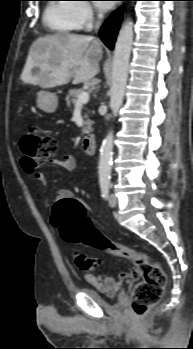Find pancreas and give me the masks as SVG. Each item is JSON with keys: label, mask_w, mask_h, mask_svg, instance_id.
Instances as JSON below:
<instances>
[{"label": "pancreas", "mask_w": 193, "mask_h": 349, "mask_svg": "<svg viewBox=\"0 0 193 349\" xmlns=\"http://www.w3.org/2000/svg\"><path fill=\"white\" fill-rule=\"evenodd\" d=\"M84 92L83 89H71L69 90L66 96L67 107L71 108L73 104L76 103L78 96ZM84 120V126L82 128L83 134H88L91 130L92 121L89 120L88 115L86 114Z\"/></svg>", "instance_id": "1"}]
</instances>
